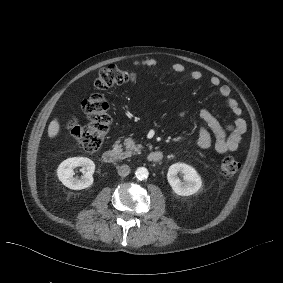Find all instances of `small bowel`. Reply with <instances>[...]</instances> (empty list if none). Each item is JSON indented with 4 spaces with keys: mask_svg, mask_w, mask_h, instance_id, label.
Returning a JSON list of instances; mask_svg holds the SVG:
<instances>
[{
    "mask_svg": "<svg viewBox=\"0 0 283 283\" xmlns=\"http://www.w3.org/2000/svg\"><path fill=\"white\" fill-rule=\"evenodd\" d=\"M158 64L155 58H146L134 62L136 66L153 67ZM171 69L176 73H183L186 67L182 63H174ZM203 74L200 70L194 69L190 72V78L193 80L202 79ZM208 82L218 88V94L224 99L227 108L233 115V122L229 126H223L219 120L207 109L199 111V117L204 125L200 128L196 145L200 148H208L212 144L211 133L215 136L214 147L216 152L223 154L228 151H235L239 147L243 136L246 132V121L242 117V111L237 101L231 96L230 88L226 85H220V79L211 75L208 77ZM186 111H180L179 116L186 115Z\"/></svg>",
    "mask_w": 283,
    "mask_h": 283,
    "instance_id": "c3829d8e",
    "label": "small bowel"
}]
</instances>
